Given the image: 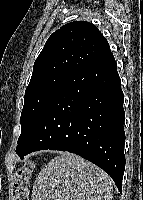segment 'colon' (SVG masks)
Wrapping results in <instances>:
<instances>
[{
  "instance_id": "5ec220e1",
  "label": "colon",
  "mask_w": 143,
  "mask_h": 200,
  "mask_svg": "<svg viewBox=\"0 0 143 200\" xmlns=\"http://www.w3.org/2000/svg\"><path fill=\"white\" fill-rule=\"evenodd\" d=\"M33 170L34 163L32 161L24 162L17 170L14 179L15 200H29Z\"/></svg>"
}]
</instances>
